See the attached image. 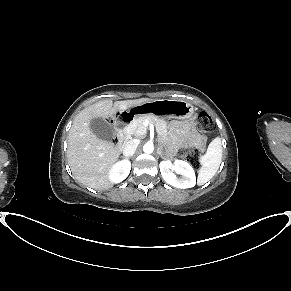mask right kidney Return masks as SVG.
<instances>
[{"mask_svg":"<svg viewBox=\"0 0 291 291\" xmlns=\"http://www.w3.org/2000/svg\"><path fill=\"white\" fill-rule=\"evenodd\" d=\"M131 170L128 160H121L114 164L109 170L108 177L112 183H120L127 178Z\"/></svg>","mask_w":291,"mask_h":291,"instance_id":"right-kidney-1","label":"right kidney"}]
</instances>
